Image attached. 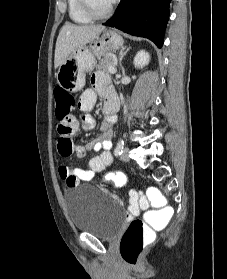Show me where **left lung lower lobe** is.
Wrapping results in <instances>:
<instances>
[{
    "instance_id": "0a47b994",
    "label": "left lung lower lobe",
    "mask_w": 227,
    "mask_h": 279,
    "mask_svg": "<svg viewBox=\"0 0 227 279\" xmlns=\"http://www.w3.org/2000/svg\"><path fill=\"white\" fill-rule=\"evenodd\" d=\"M171 0H121L115 14L103 25L126 33L146 37L159 48L169 18Z\"/></svg>"
}]
</instances>
